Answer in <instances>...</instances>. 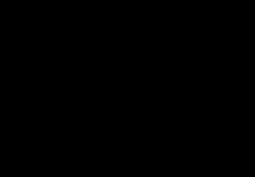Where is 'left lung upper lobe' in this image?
Instances as JSON below:
<instances>
[{
	"instance_id": "left-lung-upper-lobe-1",
	"label": "left lung upper lobe",
	"mask_w": 255,
	"mask_h": 177,
	"mask_svg": "<svg viewBox=\"0 0 255 177\" xmlns=\"http://www.w3.org/2000/svg\"><path fill=\"white\" fill-rule=\"evenodd\" d=\"M148 43L157 48L160 55V62L166 68L167 54L169 50L174 48L175 46L172 39L166 36L154 34L151 35ZM156 78L163 87V89L160 92L159 103L175 108H181L182 106L181 93L174 77L170 75L158 74Z\"/></svg>"
}]
</instances>
